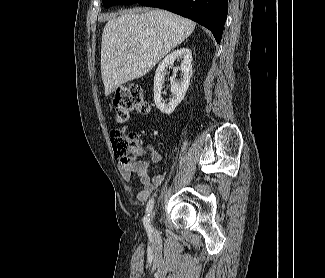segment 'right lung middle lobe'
I'll return each instance as SVG.
<instances>
[{"label": "right lung middle lobe", "instance_id": "1", "mask_svg": "<svg viewBox=\"0 0 325 278\" xmlns=\"http://www.w3.org/2000/svg\"><path fill=\"white\" fill-rule=\"evenodd\" d=\"M103 1V5L105 7H110L112 5H115V4H132V3H135L137 0H102Z\"/></svg>", "mask_w": 325, "mask_h": 278}]
</instances>
